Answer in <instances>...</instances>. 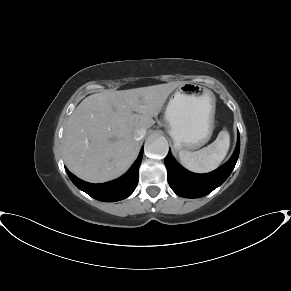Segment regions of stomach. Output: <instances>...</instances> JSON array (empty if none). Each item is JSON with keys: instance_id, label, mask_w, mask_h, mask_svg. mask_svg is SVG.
<instances>
[{"instance_id": "0dacf381", "label": "stomach", "mask_w": 291, "mask_h": 291, "mask_svg": "<svg viewBox=\"0 0 291 291\" xmlns=\"http://www.w3.org/2000/svg\"><path fill=\"white\" fill-rule=\"evenodd\" d=\"M215 109V95L208 88L192 82L176 88L164 116L176 150L193 151L210 140Z\"/></svg>"}]
</instances>
